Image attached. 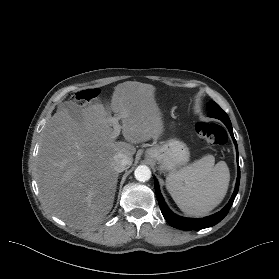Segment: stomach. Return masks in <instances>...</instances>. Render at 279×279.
<instances>
[{
    "mask_svg": "<svg viewBox=\"0 0 279 279\" xmlns=\"http://www.w3.org/2000/svg\"><path fill=\"white\" fill-rule=\"evenodd\" d=\"M189 154L186 144L175 138L156 144L145 152L147 158L157 162L160 169L167 172H174L185 165Z\"/></svg>",
    "mask_w": 279,
    "mask_h": 279,
    "instance_id": "1",
    "label": "stomach"
}]
</instances>
